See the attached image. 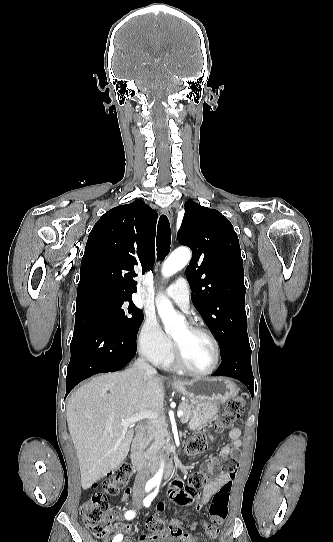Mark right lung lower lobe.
Wrapping results in <instances>:
<instances>
[{
	"mask_svg": "<svg viewBox=\"0 0 333 542\" xmlns=\"http://www.w3.org/2000/svg\"><path fill=\"white\" fill-rule=\"evenodd\" d=\"M70 350L66 396L82 380L126 366L136 354V342H129L96 311L78 309Z\"/></svg>",
	"mask_w": 333,
	"mask_h": 542,
	"instance_id": "1",
	"label": "right lung lower lobe"
}]
</instances>
